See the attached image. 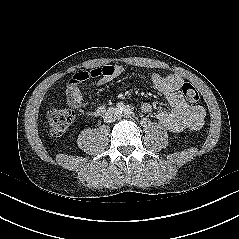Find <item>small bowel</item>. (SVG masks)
Here are the masks:
<instances>
[{
	"label": "small bowel",
	"mask_w": 239,
	"mask_h": 239,
	"mask_svg": "<svg viewBox=\"0 0 239 239\" xmlns=\"http://www.w3.org/2000/svg\"><path fill=\"white\" fill-rule=\"evenodd\" d=\"M124 73V68L118 64L105 65L90 71H78L69 80L66 94L69 105L75 109H85L87 103L84 101L80 86L90 78H97L98 85H105L118 79ZM151 86L163 94L168 100L171 108L156 112V119L167 130L179 133L186 130H198L205 121L206 112L201 105L188 103L182 94L181 87L184 83L178 74L161 75L152 73L150 75ZM105 110V105H100L94 110H88V116L100 115ZM141 111L145 114L153 112L150 103H143Z\"/></svg>",
	"instance_id": "obj_1"
}]
</instances>
